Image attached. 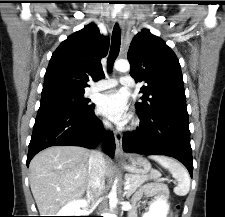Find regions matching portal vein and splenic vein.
Wrapping results in <instances>:
<instances>
[{
	"instance_id": "obj_1",
	"label": "portal vein and splenic vein",
	"mask_w": 225,
	"mask_h": 217,
	"mask_svg": "<svg viewBox=\"0 0 225 217\" xmlns=\"http://www.w3.org/2000/svg\"><path fill=\"white\" fill-rule=\"evenodd\" d=\"M160 175L154 172L153 179L158 180V181H168L170 182L171 180L165 179V178H159ZM130 186L126 183V186L124 187L125 190H128Z\"/></svg>"
}]
</instances>
